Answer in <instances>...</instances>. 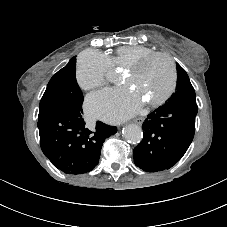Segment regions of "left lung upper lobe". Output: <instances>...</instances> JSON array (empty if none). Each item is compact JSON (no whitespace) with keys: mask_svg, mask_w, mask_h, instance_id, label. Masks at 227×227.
<instances>
[{"mask_svg":"<svg viewBox=\"0 0 227 227\" xmlns=\"http://www.w3.org/2000/svg\"><path fill=\"white\" fill-rule=\"evenodd\" d=\"M178 81L176 86V91L170 97V99L166 102H173V101H184V102H196L195 98V91L189 77L185 70L178 64Z\"/></svg>","mask_w":227,"mask_h":227,"instance_id":"obj_1","label":"left lung upper lobe"}]
</instances>
